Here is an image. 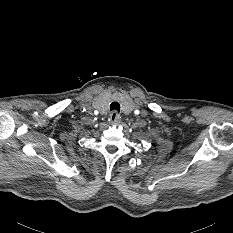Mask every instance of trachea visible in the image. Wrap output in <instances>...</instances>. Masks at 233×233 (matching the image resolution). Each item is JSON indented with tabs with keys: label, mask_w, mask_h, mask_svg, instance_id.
Listing matches in <instances>:
<instances>
[{
	"label": "trachea",
	"mask_w": 233,
	"mask_h": 233,
	"mask_svg": "<svg viewBox=\"0 0 233 233\" xmlns=\"http://www.w3.org/2000/svg\"><path fill=\"white\" fill-rule=\"evenodd\" d=\"M110 110H115V111L119 112L120 111V104L116 101L112 102L110 104Z\"/></svg>",
	"instance_id": "obj_1"
}]
</instances>
